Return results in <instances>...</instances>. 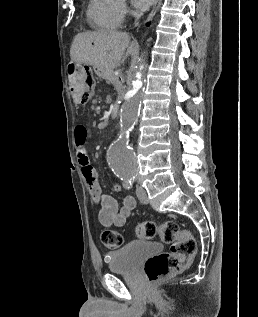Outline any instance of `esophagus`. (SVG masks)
I'll use <instances>...</instances> for the list:
<instances>
[{"label": "esophagus", "instance_id": "34e87169", "mask_svg": "<svg viewBox=\"0 0 258 317\" xmlns=\"http://www.w3.org/2000/svg\"><path fill=\"white\" fill-rule=\"evenodd\" d=\"M160 2H161V0H156V1H155L154 7H153V9H152V12H151L150 15L148 16V18H147V20H146V23H147L148 21L152 20L153 16L155 15V13H156V11H157L159 5H160Z\"/></svg>", "mask_w": 258, "mask_h": 317}]
</instances>
